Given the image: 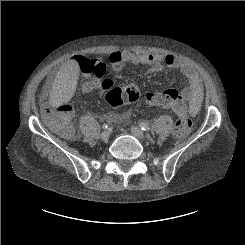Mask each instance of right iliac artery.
Wrapping results in <instances>:
<instances>
[{"label": "right iliac artery", "instance_id": "obj_1", "mask_svg": "<svg viewBox=\"0 0 245 245\" xmlns=\"http://www.w3.org/2000/svg\"><path fill=\"white\" fill-rule=\"evenodd\" d=\"M102 128H103V129H107V128H109V126H108L107 124H104V125L102 126Z\"/></svg>", "mask_w": 245, "mask_h": 245}]
</instances>
